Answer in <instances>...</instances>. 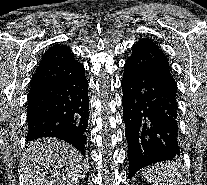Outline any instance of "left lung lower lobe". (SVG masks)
Here are the masks:
<instances>
[{
	"instance_id": "1",
	"label": "left lung lower lobe",
	"mask_w": 207,
	"mask_h": 185,
	"mask_svg": "<svg viewBox=\"0 0 207 185\" xmlns=\"http://www.w3.org/2000/svg\"><path fill=\"white\" fill-rule=\"evenodd\" d=\"M124 68L123 120L132 177L145 166L180 155L177 90L156 76Z\"/></svg>"
}]
</instances>
